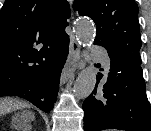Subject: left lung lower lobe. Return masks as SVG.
Returning a JSON list of instances; mask_svg holds the SVG:
<instances>
[{
  "instance_id": "obj_1",
  "label": "left lung lower lobe",
  "mask_w": 151,
  "mask_h": 131,
  "mask_svg": "<svg viewBox=\"0 0 151 131\" xmlns=\"http://www.w3.org/2000/svg\"><path fill=\"white\" fill-rule=\"evenodd\" d=\"M102 77L98 73L95 90L83 103L84 131H151L142 68L111 59L108 77L101 81Z\"/></svg>"
}]
</instances>
